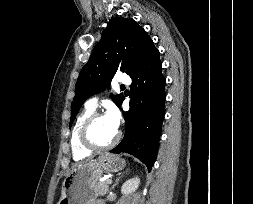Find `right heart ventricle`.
I'll list each match as a JSON object with an SVG mask.
<instances>
[{"mask_svg":"<svg viewBox=\"0 0 253 204\" xmlns=\"http://www.w3.org/2000/svg\"><path fill=\"white\" fill-rule=\"evenodd\" d=\"M94 112V109L85 107L78 115L71 134V150L74 160H82L91 155L92 151L86 149L80 141V130L85 120Z\"/></svg>","mask_w":253,"mask_h":204,"instance_id":"obj_1","label":"right heart ventricle"}]
</instances>
